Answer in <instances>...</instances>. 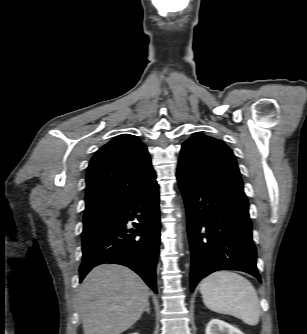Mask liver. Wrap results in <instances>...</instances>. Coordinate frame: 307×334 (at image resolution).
I'll use <instances>...</instances> for the list:
<instances>
[{
  "instance_id": "6515ba94",
  "label": "liver",
  "mask_w": 307,
  "mask_h": 334,
  "mask_svg": "<svg viewBox=\"0 0 307 334\" xmlns=\"http://www.w3.org/2000/svg\"><path fill=\"white\" fill-rule=\"evenodd\" d=\"M77 299L84 334H120L141 317L149 292L131 269L102 264L85 277Z\"/></svg>"
}]
</instances>
